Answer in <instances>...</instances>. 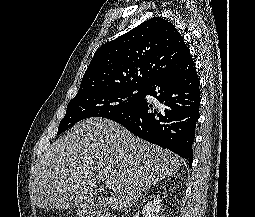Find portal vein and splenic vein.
Listing matches in <instances>:
<instances>
[{
  "instance_id": "1",
  "label": "portal vein and splenic vein",
  "mask_w": 255,
  "mask_h": 217,
  "mask_svg": "<svg viewBox=\"0 0 255 217\" xmlns=\"http://www.w3.org/2000/svg\"><path fill=\"white\" fill-rule=\"evenodd\" d=\"M105 185L108 189H111L112 191H116V189L112 186L111 182L108 180H105Z\"/></svg>"
}]
</instances>
